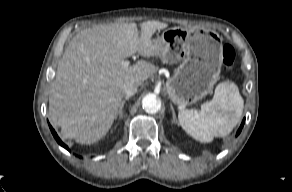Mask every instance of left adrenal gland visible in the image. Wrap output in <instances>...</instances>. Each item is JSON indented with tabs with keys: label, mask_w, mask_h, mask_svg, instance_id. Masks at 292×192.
I'll return each mask as SVG.
<instances>
[{
	"label": "left adrenal gland",
	"mask_w": 292,
	"mask_h": 192,
	"mask_svg": "<svg viewBox=\"0 0 292 192\" xmlns=\"http://www.w3.org/2000/svg\"><path fill=\"white\" fill-rule=\"evenodd\" d=\"M171 110H172V115H173V122L177 123L176 114L172 105H171Z\"/></svg>",
	"instance_id": "1"
}]
</instances>
